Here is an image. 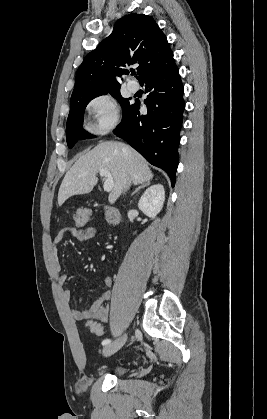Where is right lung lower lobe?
Wrapping results in <instances>:
<instances>
[{
    "instance_id": "obj_1",
    "label": "right lung lower lobe",
    "mask_w": 267,
    "mask_h": 419,
    "mask_svg": "<svg viewBox=\"0 0 267 419\" xmlns=\"http://www.w3.org/2000/svg\"><path fill=\"white\" fill-rule=\"evenodd\" d=\"M140 83L146 84L148 95L144 103L148 107V113L140 114V102L136 100L113 132L127 141L152 165L163 169L174 187L185 109L179 70L173 61L153 70Z\"/></svg>"
}]
</instances>
